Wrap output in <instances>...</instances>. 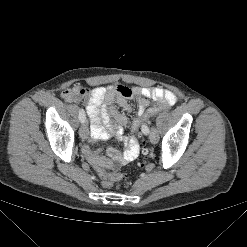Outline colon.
<instances>
[{"instance_id": "colon-1", "label": "colon", "mask_w": 247, "mask_h": 247, "mask_svg": "<svg viewBox=\"0 0 247 247\" xmlns=\"http://www.w3.org/2000/svg\"><path fill=\"white\" fill-rule=\"evenodd\" d=\"M118 92L123 95V96H129L130 95V88L126 87V86H118L117 88ZM169 105L166 103H157L152 107H149L145 110V112L141 115L138 116L132 124V131L134 133H138L140 130H143V127L146 126V122L153 117L155 114L169 109ZM142 154L144 156V159L147 158L148 156V148L145 146V142H143V148H142ZM146 164V161L143 160L139 163V166L142 168L144 167ZM97 173L99 175V177L102 180V184L104 187L106 188H111L113 186V183L116 181H119L121 179H123L125 176L123 174L120 173H110L107 172L105 169H97Z\"/></svg>"}]
</instances>
